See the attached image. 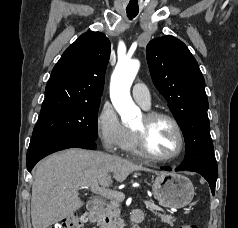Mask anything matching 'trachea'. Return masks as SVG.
I'll list each match as a JSON object with an SVG mask.
<instances>
[{
    "instance_id": "3493384b",
    "label": "trachea",
    "mask_w": 238,
    "mask_h": 228,
    "mask_svg": "<svg viewBox=\"0 0 238 228\" xmlns=\"http://www.w3.org/2000/svg\"><path fill=\"white\" fill-rule=\"evenodd\" d=\"M137 14H138V11L127 10V16H128L130 19L136 17Z\"/></svg>"
}]
</instances>
